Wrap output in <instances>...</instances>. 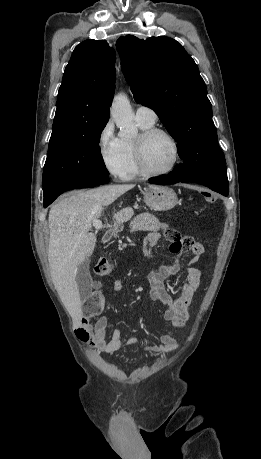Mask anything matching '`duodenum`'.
<instances>
[{"instance_id":"duodenum-1","label":"duodenum","mask_w":261,"mask_h":459,"mask_svg":"<svg viewBox=\"0 0 261 459\" xmlns=\"http://www.w3.org/2000/svg\"><path fill=\"white\" fill-rule=\"evenodd\" d=\"M119 229L117 227H113V228H110L108 231H106V233L104 234V241L105 242H108L110 241L111 239H113L117 233H118Z\"/></svg>"}]
</instances>
